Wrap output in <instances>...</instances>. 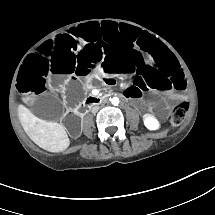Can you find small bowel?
Returning <instances> with one entry per match:
<instances>
[{"mask_svg": "<svg viewBox=\"0 0 215 215\" xmlns=\"http://www.w3.org/2000/svg\"><path fill=\"white\" fill-rule=\"evenodd\" d=\"M124 96H126V97H134L135 95H134L133 91H125Z\"/></svg>", "mask_w": 215, "mask_h": 215, "instance_id": "c3829d8e", "label": "small bowel"}]
</instances>
